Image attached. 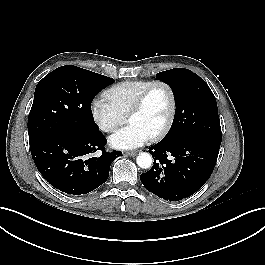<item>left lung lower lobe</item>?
I'll return each instance as SVG.
<instances>
[{"instance_id":"1","label":"left lung lower lobe","mask_w":265,"mask_h":265,"mask_svg":"<svg viewBox=\"0 0 265 265\" xmlns=\"http://www.w3.org/2000/svg\"><path fill=\"white\" fill-rule=\"evenodd\" d=\"M220 144L200 136L160 141L149 148L154 165L140 180L148 191L165 200L186 198L211 176Z\"/></svg>"}]
</instances>
